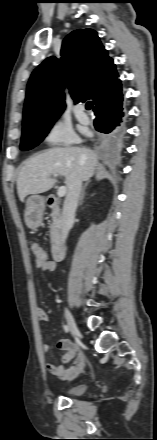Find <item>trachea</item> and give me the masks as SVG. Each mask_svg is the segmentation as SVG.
I'll use <instances>...</instances> for the list:
<instances>
[{"label": "trachea", "instance_id": "trachea-1", "mask_svg": "<svg viewBox=\"0 0 157 440\" xmlns=\"http://www.w3.org/2000/svg\"><path fill=\"white\" fill-rule=\"evenodd\" d=\"M92 107H93V104H92V102H87V104H86V109L87 110H90V109H92Z\"/></svg>", "mask_w": 157, "mask_h": 440}]
</instances>
